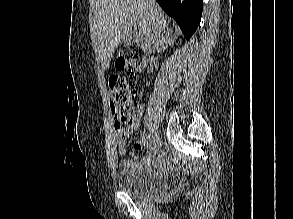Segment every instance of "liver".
I'll list each match as a JSON object with an SVG mask.
<instances>
[{
  "instance_id": "obj_1",
  "label": "liver",
  "mask_w": 293,
  "mask_h": 219,
  "mask_svg": "<svg viewBox=\"0 0 293 219\" xmlns=\"http://www.w3.org/2000/svg\"><path fill=\"white\" fill-rule=\"evenodd\" d=\"M130 34H135V43L145 54L162 52L175 39L155 0H97L92 43L103 70L120 41Z\"/></svg>"
}]
</instances>
